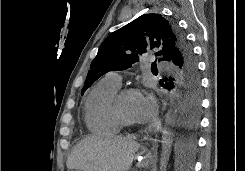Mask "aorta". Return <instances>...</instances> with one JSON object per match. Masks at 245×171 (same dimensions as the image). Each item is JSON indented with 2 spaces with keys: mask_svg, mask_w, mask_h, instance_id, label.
Listing matches in <instances>:
<instances>
[{
  "mask_svg": "<svg viewBox=\"0 0 245 171\" xmlns=\"http://www.w3.org/2000/svg\"><path fill=\"white\" fill-rule=\"evenodd\" d=\"M177 108H178V94L176 91H173L171 94V107L168 109V112L165 117V125L162 130V150L160 156V171H166L171 148L174 140V131L173 126L177 122Z\"/></svg>",
  "mask_w": 245,
  "mask_h": 171,
  "instance_id": "aorta-1",
  "label": "aorta"
}]
</instances>
